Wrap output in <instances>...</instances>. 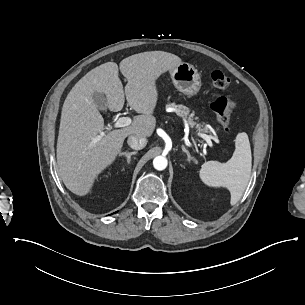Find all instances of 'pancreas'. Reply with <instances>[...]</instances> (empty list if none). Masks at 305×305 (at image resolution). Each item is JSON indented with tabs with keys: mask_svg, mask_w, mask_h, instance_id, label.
Returning <instances> with one entry per match:
<instances>
[{
	"mask_svg": "<svg viewBox=\"0 0 305 305\" xmlns=\"http://www.w3.org/2000/svg\"><path fill=\"white\" fill-rule=\"evenodd\" d=\"M168 108H175L177 110H182L184 109L185 111H182V114L185 116V117H188L189 113H190V110L187 109L185 106H182V105H175V104H171V105H167ZM194 117V114H191L189 117H188V123L191 127H196L197 129L199 128L200 124L197 123V122H194L192 120V118ZM201 132H209V128H205V129H200Z\"/></svg>",
	"mask_w": 305,
	"mask_h": 305,
	"instance_id": "cf45deb5",
	"label": "pancreas"
}]
</instances>
